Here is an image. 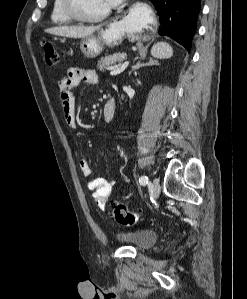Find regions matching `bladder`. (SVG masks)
<instances>
[{"instance_id": "1", "label": "bladder", "mask_w": 247, "mask_h": 299, "mask_svg": "<svg viewBox=\"0 0 247 299\" xmlns=\"http://www.w3.org/2000/svg\"><path fill=\"white\" fill-rule=\"evenodd\" d=\"M157 232L150 229H137L129 231H120L117 233V239L138 250L151 248L157 241Z\"/></svg>"}]
</instances>
